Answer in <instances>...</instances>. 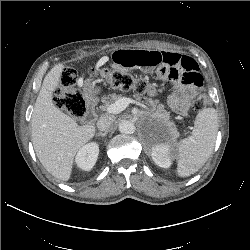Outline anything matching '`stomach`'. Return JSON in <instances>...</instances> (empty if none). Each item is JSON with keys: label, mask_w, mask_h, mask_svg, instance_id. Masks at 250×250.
<instances>
[{"label": "stomach", "mask_w": 250, "mask_h": 250, "mask_svg": "<svg viewBox=\"0 0 250 250\" xmlns=\"http://www.w3.org/2000/svg\"><path fill=\"white\" fill-rule=\"evenodd\" d=\"M143 51V50H142ZM144 51H146V50H144ZM143 51V52H144ZM84 96L87 98V99H92L96 94H98V92H99V89H97V88H94L93 86H91V85H86L85 87H84ZM143 136H144V134H143Z\"/></svg>", "instance_id": "0dacf381"}]
</instances>
